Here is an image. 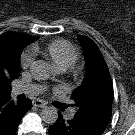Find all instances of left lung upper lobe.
<instances>
[{"mask_svg": "<svg viewBox=\"0 0 135 135\" xmlns=\"http://www.w3.org/2000/svg\"><path fill=\"white\" fill-rule=\"evenodd\" d=\"M86 59V74L83 84L72 93L71 99L77 116L108 124L111 119L113 85L105 60L95 45L86 36H78Z\"/></svg>", "mask_w": 135, "mask_h": 135, "instance_id": "obj_1", "label": "left lung upper lobe"}]
</instances>
